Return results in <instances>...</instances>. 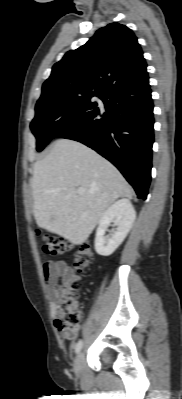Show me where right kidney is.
Wrapping results in <instances>:
<instances>
[{
	"label": "right kidney",
	"instance_id": "obj_1",
	"mask_svg": "<svg viewBox=\"0 0 182 399\" xmlns=\"http://www.w3.org/2000/svg\"><path fill=\"white\" fill-rule=\"evenodd\" d=\"M136 218V212L128 199L114 202L99 219L95 236V250L99 255H111L124 241ZM114 222L117 230L108 237L105 236L110 223Z\"/></svg>",
	"mask_w": 182,
	"mask_h": 399
}]
</instances>
